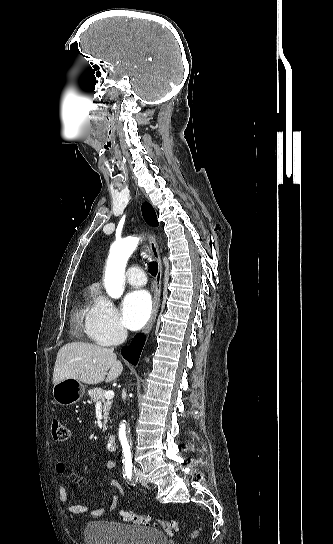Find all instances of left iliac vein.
<instances>
[{
	"instance_id": "1",
	"label": "left iliac vein",
	"mask_w": 333,
	"mask_h": 544,
	"mask_svg": "<svg viewBox=\"0 0 333 544\" xmlns=\"http://www.w3.org/2000/svg\"><path fill=\"white\" fill-rule=\"evenodd\" d=\"M135 476L137 477V479L139 480V482L142 484V485H147V481L146 479L142 476L141 472L140 471H137L135 473Z\"/></svg>"
}]
</instances>
